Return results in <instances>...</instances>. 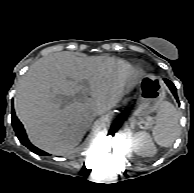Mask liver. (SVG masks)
I'll use <instances>...</instances> for the list:
<instances>
[{
    "label": "liver",
    "instance_id": "obj_1",
    "mask_svg": "<svg viewBox=\"0 0 194 193\" xmlns=\"http://www.w3.org/2000/svg\"><path fill=\"white\" fill-rule=\"evenodd\" d=\"M141 77L122 59L83 58L68 51L49 54L20 79L15 111L35 146L56 155L68 154L81 141L94 111L113 108ZM83 82L89 86L90 98L74 99L61 108V97L75 96Z\"/></svg>",
    "mask_w": 194,
    "mask_h": 193
}]
</instances>
